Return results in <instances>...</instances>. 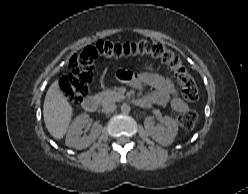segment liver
Masks as SVG:
<instances>
[{"label":"liver","instance_id":"1","mask_svg":"<svg viewBox=\"0 0 248 194\" xmlns=\"http://www.w3.org/2000/svg\"><path fill=\"white\" fill-rule=\"evenodd\" d=\"M43 116L47 130L55 139H62L67 132L73 108L59 88V81L49 87L43 105Z\"/></svg>","mask_w":248,"mask_h":194}]
</instances>
